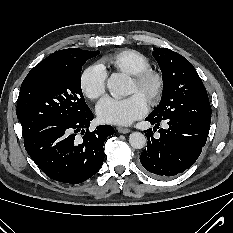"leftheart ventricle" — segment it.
<instances>
[{
  "label": "left heart ventricle",
  "mask_w": 233,
  "mask_h": 233,
  "mask_svg": "<svg viewBox=\"0 0 233 233\" xmlns=\"http://www.w3.org/2000/svg\"><path fill=\"white\" fill-rule=\"evenodd\" d=\"M152 90V85L148 84L144 87H139L137 84L132 81L130 92L129 93H138L140 94L145 100H147L150 92Z\"/></svg>",
  "instance_id": "obj_1"
}]
</instances>
